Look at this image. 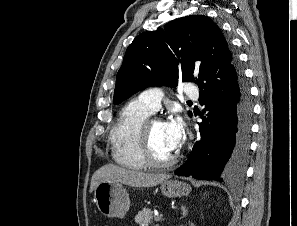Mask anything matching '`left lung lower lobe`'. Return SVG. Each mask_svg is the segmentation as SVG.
Instances as JSON below:
<instances>
[{"label": "left lung lower lobe", "instance_id": "0a47b994", "mask_svg": "<svg viewBox=\"0 0 297 226\" xmlns=\"http://www.w3.org/2000/svg\"><path fill=\"white\" fill-rule=\"evenodd\" d=\"M199 89L200 105L205 106L200 135L175 174L238 184L245 174L253 112L243 73L238 66L236 76Z\"/></svg>", "mask_w": 297, "mask_h": 226}]
</instances>
